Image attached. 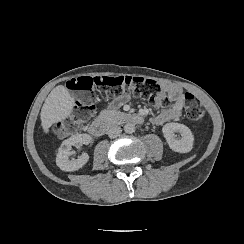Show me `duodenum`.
Listing matches in <instances>:
<instances>
[{"mask_svg":"<svg viewBox=\"0 0 244 244\" xmlns=\"http://www.w3.org/2000/svg\"><path fill=\"white\" fill-rule=\"evenodd\" d=\"M143 122L144 116L140 113H124L118 116H111L93 121L89 124L88 131L95 137H101L119 123L141 124Z\"/></svg>","mask_w":244,"mask_h":244,"instance_id":"1","label":"duodenum"}]
</instances>
